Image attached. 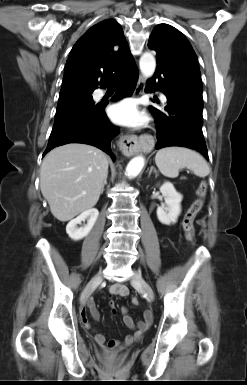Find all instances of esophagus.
<instances>
[{
    "label": "esophagus",
    "mask_w": 247,
    "mask_h": 385,
    "mask_svg": "<svg viewBox=\"0 0 247 385\" xmlns=\"http://www.w3.org/2000/svg\"><path fill=\"white\" fill-rule=\"evenodd\" d=\"M145 87V79L142 75L139 76L134 95L138 97ZM119 148L126 156H132L139 150V141L135 135H122L119 140Z\"/></svg>",
    "instance_id": "obj_1"
}]
</instances>
